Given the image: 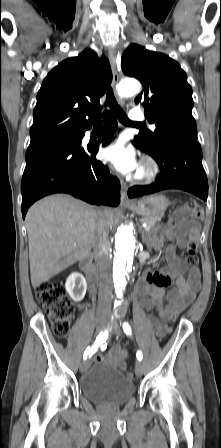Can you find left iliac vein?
I'll return each mask as SVG.
<instances>
[{
    "mask_svg": "<svg viewBox=\"0 0 221 448\" xmlns=\"http://www.w3.org/2000/svg\"><path fill=\"white\" fill-rule=\"evenodd\" d=\"M114 333L115 334H119L120 333V327L118 326V324L114 323ZM135 373L137 376H141L143 373V366L142 363L140 361H138L135 365Z\"/></svg>",
    "mask_w": 221,
    "mask_h": 448,
    "instance_id": "left-iliac-vein-1",
    "label": "left iliac vein"
}]
</instances>
